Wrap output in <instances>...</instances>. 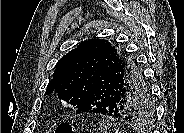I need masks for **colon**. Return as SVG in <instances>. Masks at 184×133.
I'll use <instances>...</instances> for the list:
<instances>
[{
  "instance_id": "1",
  "label": "colon",
  "mask_w": 184,
  "mask_h": 133,
  "mask_svg": "<svg viewBox=\"0 0 184 133\" xmlns=\"http://www.w3.org/2000/svg\"><path fill=\"white\" fill-rule=\"evenodd\" d=\"M56 133H74V131L72 130L70 125L63 123L57 127Z\"/></svg>"
}]
</instances>
